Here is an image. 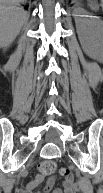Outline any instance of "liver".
Returning a JSON list of instances; mask_svg holds the SVG:
<instances>
[{
    "label": "liver",
    "instance_id": "1",
    "mask_svg": "<svg viewBox=\"0 0 103 193\" xmlns=\"http://www.w3.org/2000/svg\"><path fill=\"white\" fill-rule=\"evenodd\" d=\"M20 0H2L1 6V32L0 40L1 47L8 48L16 37L26 19V12L21 8L16 7Z\"/></svg>",
    "mask_w": 103,
    "mask_h": 193
}]
</instances>
